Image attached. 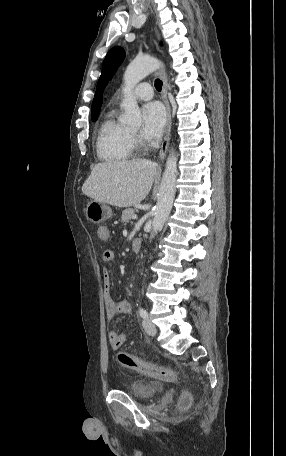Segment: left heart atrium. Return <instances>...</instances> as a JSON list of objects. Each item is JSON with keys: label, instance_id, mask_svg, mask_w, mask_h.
Instances as JSON below:
<instances>
[{"label": "left heart atrium", "instance_id": "39dd6f15", "mask_svg": "<svg viewBox=\"0 0 286 456\" xmlns=\"http://www.w3.org/2000/svg\"><path fill=\"white\" fill-rule=\"evenodd\" d=\"M142 135L148 140L157 139L166 123V112L158 102H150L144 105Z\"/></svg>", "mask_w": 286, "mask_h": 456}]
</instances>
